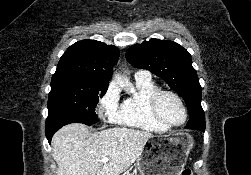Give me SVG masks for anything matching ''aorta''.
Returning <instances> with one entry per match:
<instances>
[{
  "instance_id": "aorta-1",
  "label": "aorta",
  "mask_w": 251,
  "mask_h": 175,
  "mask_svg": "<svg viewBox=\"0 0 251 175\" xmlns=\"http://www.w3.org/2000/svg\"><path fill=\"white\" fill-rule=\"evenodd\" d=\"M113 80H115L116 84H118L120 88L125 89V91H131V89H133L131 82H129V80H125L121 74H114Z\"/></svg>"
}]
</instances>
